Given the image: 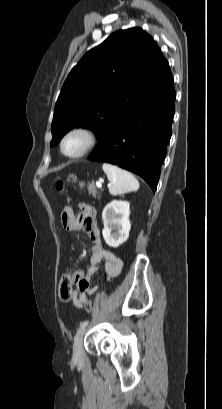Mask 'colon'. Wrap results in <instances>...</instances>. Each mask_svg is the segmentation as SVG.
I'll return each instance as SVG.
<instances>
[{"label":"colon","mask_w":222,"mask_h":409,"mask_svg":"<svg viewBox=\"0 0 222 409\" xmlns=\"http://www.w3.org/2000/svg\"><path fill=\"white\" fill-rule=\"evenodd\" d=\"M68 182L75 183L76 182L75 177L71 176L68 179ZM65 186H66V183L64 181H58L55 184L56 190L61 193L64 192ZM73 269H76V268H68L66 270V272L64 273L61 279L60 285H59V298L63 302H68L72 297L74 285L72 284V278L70 277V274ZM84 307H85L86 313L90 314L92 310L91 302L88 301L87 303H85Z\"/></svg>","instance_id":"5ec220e1"}]
</instances>
